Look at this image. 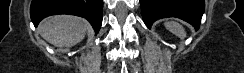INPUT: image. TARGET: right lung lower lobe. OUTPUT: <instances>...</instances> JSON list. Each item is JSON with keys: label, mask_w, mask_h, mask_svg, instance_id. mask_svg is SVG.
<instances>
[{"label": "right lung lower lobe", "mask_w": 244, "mask_h": 73, "mask_svg": "<svg viewBox=\"0 0 244 73\" xmlns=\"http://www.w3.org/2000/svg\"><path fill=\"white\" fill-rule=\"evenodd\" d=\"M103 0H32L30 15L35 27L50 15L70 14L86 18L96 33L102 24Z\"/></svg>", "instance_id": "98d812e1"}]
</instances>
